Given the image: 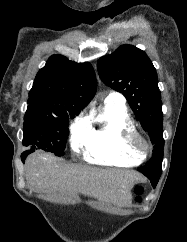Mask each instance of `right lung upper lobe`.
I'll list each match as a JSON object with an SVG mask.
<instances>
[{
  "label": "right lung upper lobe",
  "instance_id": "1",
  "mask_svg": "<svg viewBox=\"0 0 187 242\" xmlns=\"http://www.w3.org/2000/svg\"><path fill=\"white\" fill-rule=\"evenodd\" d=\"M96 78L89 63L53 55L37 73L26 112L78 114L93 98Z\"/></svg>",
  "mask_w": 187,
  "mask_h": 242
}]
</instances>
